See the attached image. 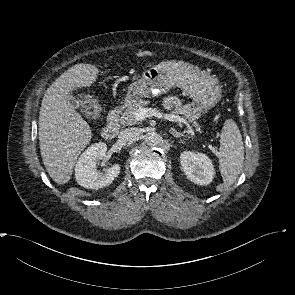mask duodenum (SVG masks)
<instances>
[{
	"label": "duodenum",
	"mask_w": 295,
	"mask_h": 295,
	"mask_svg": "<svg viewBox=\"0 0 295 295\" xmlns=\"http://www.w3.org/2000/svg\"><path fill=\"white\" fill-rule=\"evenodd\" d=\"M119 114V108L111 110L108 114L107 124L102 130V137L104 139L111 140L117 135L119 129Z\"/></svg>",
	"instance_id": "obj_1"
}]
</instances>
